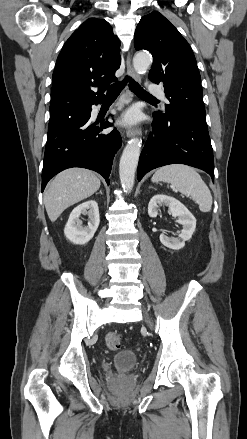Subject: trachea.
I'll return each instance as SVG.
<instances>
[{
    "label": "trachea",
    "mask_w": 247,
    "mask_h": 439,
    "mask_svg": "<svg viewBox=\"0 0 247 439\" xmlns=\"http://www.w3.org/2000/svg\"><path fill=\"white\" fill-rule=\"evenodd\" d=\"M129 82L130 90L136 94L137 96L155 99L152 95L146 92L136 81H134L131 77L126 76L125 79L119 83H115L111 85L107 91V96H118L121 90L125 87V85Z\"/></svg>",
    "instance_id": "1"
}]
</instances>
